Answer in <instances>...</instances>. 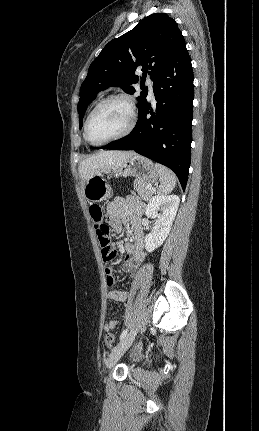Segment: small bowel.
<instances>
[{
	"label": "small bowel",
	"mask_w": 259,
	"mask_h": 431,
	"mask_svg": "<svg viewBox=\"0 0 259 431\" xmlns=\"http://www.w3.org/2000/svg\"><path fill=\"white\" fill-rule=\"evenodd\" d=\"M143 205L133 196L117 197L107 206V218L115 231H120L123 225L130 226L131 239L125 243V256L123 258V270L127 274L134 276L143 263L144 254V233L141 226L140 216ZM106 282L108 286H114L113 268H105ZM108 299L125 302L128 299L126 291L110 290ZM119 325L118 320H108L104 324L105 331L115 330Z\"/></svg>",
	"instance_id": "c3829d8e"
}]
</instances>
